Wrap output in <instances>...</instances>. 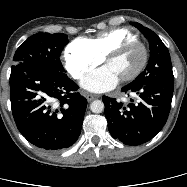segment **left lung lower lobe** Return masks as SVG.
Masks as SVG:
<instances>
[{"label":"left lung lower lobe","mask_w":187,"mask_h":187,"mask_svg":"<svg viewBox=\"0 0 187 187\" xmlns=\"http://www.w3.org/2000/svg\"><path fill=\"white\" fill-rule=\"evenodd\" d=\"M174 82H154L125 86L122 92L137 96L128 105L103 96L105 117L114 139L126 145H140L151 140L165 125L172 102Z\"/></svg>","instance_id":"left-lung-lower-lobe-1"}]
</instances>
